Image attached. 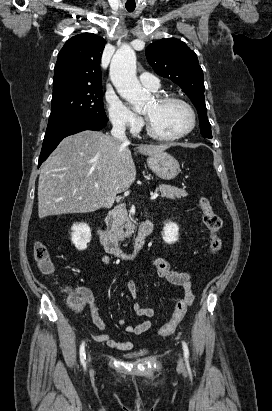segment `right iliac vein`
Masks as SVG:
<instances>
[{
  "instance_id": "obj_1",
  "label": "right iliac vein",
  "mask_w": 272,
  "mask_h": 411,
  "mask_svg": "<svg viewBox=\"0 0 272 411\" xmlns=\"http://www.w3.org/2000/svg\"><path fill=\"white\" fill-rule=\"evenodd\" d=\"M88 360H89V361H91V358H90V356L88 357Z\"/></svg>"
}]
</instances>
